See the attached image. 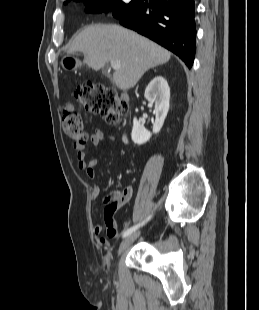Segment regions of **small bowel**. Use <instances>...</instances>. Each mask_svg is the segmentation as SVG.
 <instances>
[{
	"label": "small bowel",
	"instance_id": "obj_1",
	"mask_svg": "<svg viewBox=\"0 0 259 310\" xmlns=\"http://www.w3.org/2000/svg\"><path fill=\"white\" fill-rule=\"evenodd\" d=\"M104 138H105L104 132L101 129H97L91 134L90 142L93 146L97 147L104 140ZM111 139L113 138L111 137ZM73 149L76 153L77 166L85 171V174L89 179L94 180L96 177L95 172V166L97 164L96 159L87 158L85 147L82 144H74ZM131 194L132 189L130 187H127L124 190L123 201L114 210H108L107 208L104 209V222L107 228V235L109 238H117L119 236V231L117 230L116 227L114 214L118 207L122 206L130 199ZM99 195H100V187L97 184H94L92 188V196L93 198H97ZM102 231H103L102 223H95L93 225V233L97 237L98 242L102 246H108L109 240L106 237L102 236Z\"/></svg>",
	"mask_w": 259,
	"mask_h": 310
}]
</instances>
